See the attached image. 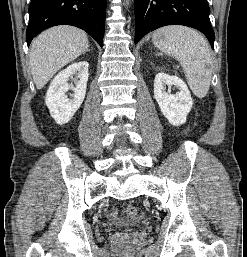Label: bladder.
Here are the masks:
<instances>
[{"label": "bladder", "mask_w": 247, "mask_h": 257, "mask_svg": "<svg viewBox=\"0 0 247 257\" xmlns=\"http://www.w3.org/2000/svg\"><path fill=\"white\" fill-rule=\"evenodd\" d=\"M132 230H133V228L126 229L127 232H131Z\"/></svg>", "instance_id": "obj_1"}]
</instances>
